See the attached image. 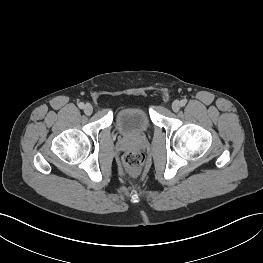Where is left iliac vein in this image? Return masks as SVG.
I'll list each match as a JSON object with an SVG mask.
<instances>
[{
	"instance_id": "1",
	"label": "left iliac vein",
	"mask_w": 263,
	"mask_h": 263,
	"mask_svg": "<svg viewBox=\"0 0 263 263\" xmlns=\"http://www.w3.org/2000/svg\"><path fill=\"white\" fill-rule=\"evenodd\" d=\"M181 108V104L178 100H175L173 103H172V110L174 112H178Z\"/></svg>"
}]
</instances>
